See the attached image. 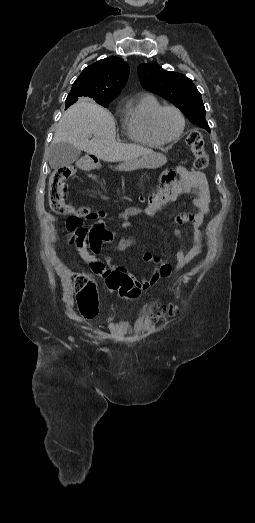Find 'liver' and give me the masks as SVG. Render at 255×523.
<instances>
[{
    "label": "liver",
    "mask_w": 255,
    "mask_h": 523,
    "mask_svg": "<svg viewBox=\"0 0 255 523\" xmlns=\"http://www.w3.org/2000/svg\"><path fill=\"white\" fill-rule=\"evenodd\" d=\"M92 140H88L92 136ZM69 142L78 150L93 154L104 162H129L136 158H147L153 168L166 164V156L155 154L149 148L136 144L116 142V128L112 114L89 98H80L74 106L64 112L52 140L53 144ZM122 170L121 166H119Z\"/></svg>",
    "instance_id": "1"
}]
</instances>
